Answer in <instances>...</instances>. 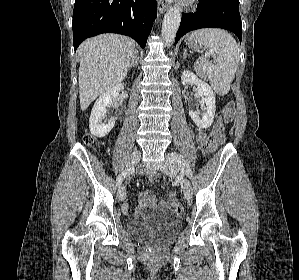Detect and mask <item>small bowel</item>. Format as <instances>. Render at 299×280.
Wrapping results in <instances>:
<instances>
[{"label":"small bowel","mask_w":299,"mask_h":280,"mask_svg":"<svg viewBox=\"0 0 299 280\" xmlns=\"http://www.w3.org/2000/svg\"><path fill=\"white\" fill-rule=\"evenodd\" d=\"M206 138H207V133L205 131H202V130L197 131L196 139L199 144L202 145L203 142L206 140ZM219 140L222 141L223 136L220 135ZM157 177H158V173L155 171H151L148 173V178L151 181L155 180ZM174 201H175V196L173 193L170 194L166 200H164L160 203H157L154 195H152L149 191H142L140 193V204L137 208V212H140L144 208H150V207H156V206L166 207V206L172 204ZM122 209L124 212H128V205L124 204Z\"/></svg>","instance_id":"1"}]
</instances>
